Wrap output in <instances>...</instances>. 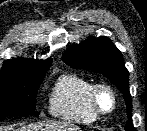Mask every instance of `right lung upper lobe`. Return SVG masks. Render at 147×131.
Listing matches in <instances>:
<instances>
[{
  "label": "right lung upper lobe",
  "instance_id": "1",
  "mask_svg": "<svg viewBox=\"0 0 147 131\" xmlns=\"http://www.w3.org/2000/svg\"><path fill=\"white\" fill-rule=\"evenodd\" d=\"M51 59L34 60L26 58L9 59L4 62L1 74H31L47 71L51 64Z\"/></svg>",
  "mask_w": 147,
  "mask_h": 131
}]
</instances>
